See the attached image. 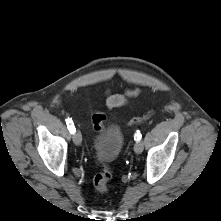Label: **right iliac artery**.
<instances>
[{
    "instance_id": "82829eb1",
    "label": "right iliac artery",
    "mask_w": 221,
    "mask_h": 221,
    "mask_svg": "<svg viewBox=\"0 0 221 221\" xmlns=\"http://www.w3.org/2000/svg\"><path fill=\"white\" fill-rule=\"evenodd\" d=\"M66 124H67V127H68V130L70 131L71 134L75 133L76 129H75V126L73 124V121L71 119H66Z\"/></svg>"
}]
</instances>
